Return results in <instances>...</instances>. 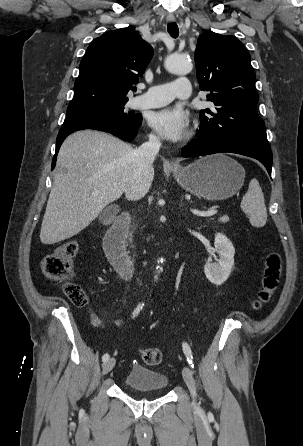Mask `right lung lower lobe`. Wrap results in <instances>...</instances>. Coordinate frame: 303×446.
<instances>
[{
	"instance_id": "obj_1",
	"label": "right lung lower lobe",
	"mask_w": 303,
	"mask_h": 446,
	"mask_svg": "<svg viewBox=\"0 0 303 446\" xmlns=\"http://www.w3.org/2000/svg\"><path fill=\"white\" fill-rule=\"evenodd\" d=\"M139 127H131L119 121L103 117H88L63 124L56 139V151L52 161V169L56 165L57 153L62 142L69 134L75 131L83 129L100 130L111 133L124 141H131L136 136Z\"/></svg>"
}]
</instances>
